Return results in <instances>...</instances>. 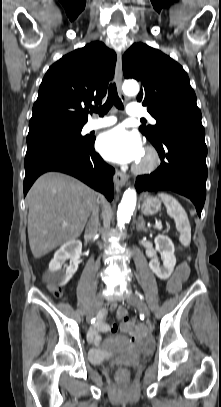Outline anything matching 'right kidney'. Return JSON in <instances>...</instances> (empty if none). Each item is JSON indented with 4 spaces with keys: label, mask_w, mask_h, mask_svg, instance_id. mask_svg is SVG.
<instances>
[{
    "label": "right kidney",
    "mask_w": 221,
    "mask_h": 407,
    "mask_svg": "<svg viewBox=\"0 0 221 407\" xmlns=\"http://www.w3.org/2000/svg\"><path fill=\"white\" fill-rule=\"evenodd\" d=\"M82 243L79 240H72L63 244L54 254L49 263V279L56 286H65L78 269ZM70 260V265L66 271H62V265Z\"/></svg>",
    "instance_id": "ca27d5eb"
}]
</instances>
